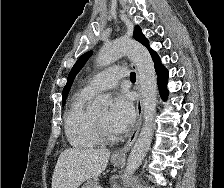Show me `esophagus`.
<instances>
[{
    "mask_svg": "<svg viewBox=\"0 0 224 188\" xmlns=\"http://www.w3.org/2000/svg\"><path fill=\"white\" fill-rule=\"evenodd\" d=\"M131 66L136 70L134 63H131ZM135 89L138 93V99H137V103H136L137 121H136L135 127H134L129 139L127 140L126 144L121 149L116 150L113 153V157L125 158L127 152L131 149L134 142L136 141V138L139 134V131H140V128L142 125L143 104H142V96H141L138 77H137Z\"/></svg>",
    "mask_w": 224,
    "mask_h": 188,
    "instance_id": "1",
    "label": "esophagus"
}]
</instances>
